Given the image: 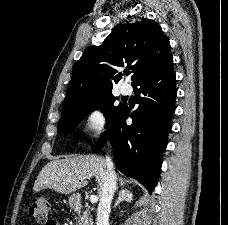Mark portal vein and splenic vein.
<instances>
[{"mask_svg": "<svg viewBox=\"0 0 228 225\" xmlns=\"http://www.w3.org/2000/svg\"><path fill=\"white\" fill-rule=\"evenodd\" d=\"M86 177H82L81 181H85ZM91 203H96L98 201V197H95V195H91L90 197Z\"/></svg>", "mask_w": 228, "mask_h": 225, "instance_id": "18ae733b", "label": "portal vein and splenic vein"}]
</instances>
